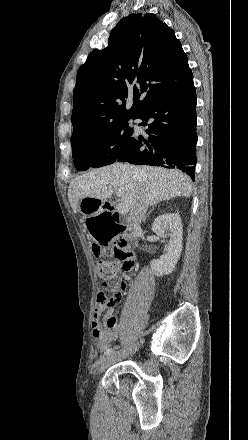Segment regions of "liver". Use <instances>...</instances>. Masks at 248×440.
<instances>
[{"instance_id":"1","label":"liver","mask_w":248,"mask_h":440,"mask_svg":"<svg viewBox=\"0 0 248 440\" xmlns=\"http://www.w3.org/2000/svg\"><path fill=\"white\" fill-rule=\"evenodd\" d=\"M114 188L120 191L119 196L128 211L135 209L141 197L148 205H153L175 197L188 198L192 193L189 177L177 170L114 163L71 181L68 199L73 212H77L81 199L104 201L112 196Z\"/></svg>"}]
</instances>
